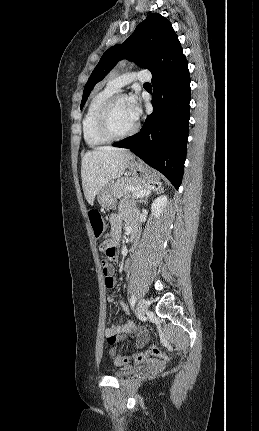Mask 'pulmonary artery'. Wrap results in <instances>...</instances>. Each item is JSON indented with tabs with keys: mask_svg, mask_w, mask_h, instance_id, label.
Wrapping results in <instances>:
<instances>
[{
	"mask_svg": "<svg viewBox=\"0 0 259 431\" xmlns=\"http://www.w3.org/2000/svg\"><path fill=\"white\" fill-rule=\"evenodd\" d=\"M151 79V75L149 72L143 70L139 71L137 73L132 74H125V75H119V76H113L109 78L107 87L110 89L117 91L121 87H123L125 84L137 80L139 82H149Z\"/></svg>",
	"mask_w": 259,
	"mask_h": 431,
	"instance_id": "1",
	"label": "pulmonary artery"
}]
</instances>
